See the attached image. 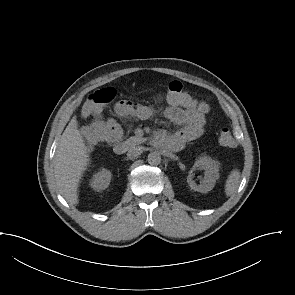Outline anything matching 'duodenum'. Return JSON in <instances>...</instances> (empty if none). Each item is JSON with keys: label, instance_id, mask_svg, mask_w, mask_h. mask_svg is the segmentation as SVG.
I'll return each mask as SVG.
<instances>
[{"label": "duodenum", "instance_id": "obj_1", "mask_svg": "<svg viewBox=\"0 0 295 295\" xmlns=\"http://www.w3.org/2000/svg\"><path fill=\"white\" fill-rule=\"evenodd\" d=\"M158 139L160 141V138ZM113 149L117 155H122L127 151V145L124 142H117Z\"/></svg>", "mask_w": 295, "mask_h": 295}]
</instances>
